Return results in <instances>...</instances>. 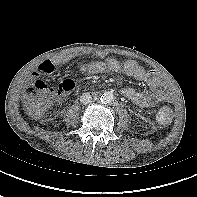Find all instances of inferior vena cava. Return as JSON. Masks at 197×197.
<instances>
[{
  "label": "inferior vena cava",
  "mask_w": 197,
  "mask_h": 197,
  "mask_svg": "<svg viewBox=\"0 0 197 197\" xmlns=\"http://www.w3.org/2000/svg\"><path fill=\"white\" fill-rule=\"evenodd\" d=\"M80 102L82 104H89L92 102V97L89 93H83L81 96H80Z\"/></svg>",
  "instance_id": "602c4592"
}]
</instances>
